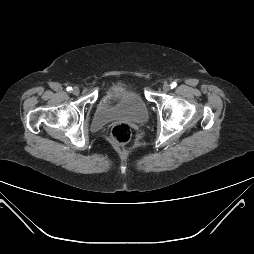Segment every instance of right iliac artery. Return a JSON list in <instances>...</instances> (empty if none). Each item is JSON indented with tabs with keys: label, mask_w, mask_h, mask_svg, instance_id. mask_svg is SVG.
Returning a JSON list of instances; mask_svg holds the SVG:
<instances>
[{
	"label": "right iliac artery",
	"mask_w": 254,
	"mask_h": 254,
	"mask_svg": "<svg viewBox=\"0 0 254 254\" xmlns=\"http://www.w3.org/2000/svg\"><path fill=\"white\" fill-rule=\"evenodd\" d=\"M71 90H72V88H71V87H67V91H69V92H70Z\"/></svg>",
	"instance_id": "82829eb1"
}]
</instances>
